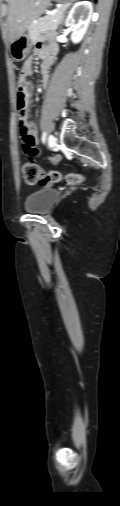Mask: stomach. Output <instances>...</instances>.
Returning a JSON list of instances; mask_svg holds the SVG:
<instances>
[{"instance_id":"stomach-1","label":"stomach","mask_w":120,"mask_h":506,"mask_svg":"<svg viewBox=\"0 0 120 506\" xmlns=\"http://www.w3.org/2000/svg\"><path fill=\"white\" fill-rule=\"evenodd\" d=\"M64 5H70L75 0H56ZM33 41L27 33H23L15 41L11 43V54L14 60L22 61L30 53Z\"/></svg>"}]
</instances>
